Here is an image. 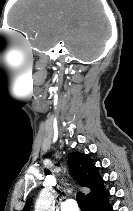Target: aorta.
I'll return each mask as SVG.
<instances>
[{"mask_svg":"<svg viewBox=\"0 0 133 211\" xmlns=\"http://www.w3.org/2000/svg\"><path fill=\"white\" fill-rule=\"evenodd\" d=\"M54 196L49 188H44L35 203V211H53Z\"/></svg>","mask_w":133,"mask_h":211,"instance_id":"obj_1","label":"aorta"}]
</instances>
